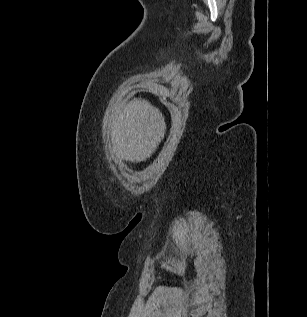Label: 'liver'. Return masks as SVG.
<instances>
[{"mask_svg": "<svg viewBox=\"0 0 307 317\" xmlns=\"http://www.w3.org/2000/svg\"><path fill=\"white\" fill-rule=\"evenodd\" d=\"M111 129L114 154L126 161L141 162L159 146L166 123L158 108L145 99L134 98L115 113Z\"/></svg>", "mask_w": 307, "mask_h": 317, "instance_id": "obj_1", "label": "liver"}]
</instances>
